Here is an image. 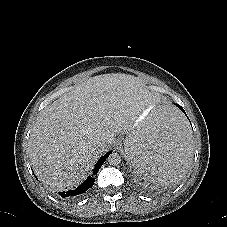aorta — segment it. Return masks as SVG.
Instances as JSON below:
<instances>
[{"label": "aorta", "mask_w": 227, "mask_h": 227, "mask_svg": "<svg viewBox=\"0 0 227 227\" xmlns=\"http://www.w3.org/2000/svg\"><path fill=\"white\" fill-rule=\"evenodd\" d=\"M108 162L110 165L117 166L121 163V157L118 153H112L108 157Z\"/></svg>", "instance_id": "aorta-1"}]
</instances>
